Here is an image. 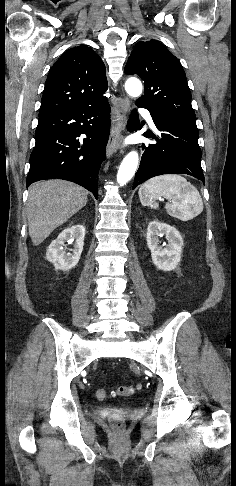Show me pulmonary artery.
<instances>
[{
    "instance_id": "pulmonary-artery-1",
    "label": "pulmonary artery",
    "mask_w": 236,
    "mask_h": 486,
    "mask_svg": "<svg viewBox=\"0 0 236 486\" xmlns=\"http://www.w3.org/2000/svg\"><path fill=\"white\" fill-rule=\"evenodd\" d=\"M140 113L146 118V120L148 121L150 126L155 128V124H154L153 119L150 115V112L146 109H140Z\"/></svg>"
}]
</instances>
